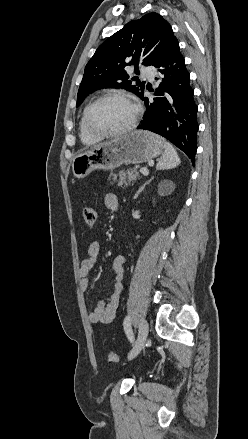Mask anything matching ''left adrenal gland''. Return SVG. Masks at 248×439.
Returning a JSON list of instances; mask_svg holds the SVG:
<instances>
[{
  "instance_id": "obj_1",
  "label": "left adrenal gland",
  "mask_w": 248,
  "mask_h": 439,
  "mask_svg": "<svg viewBox=\"0 0 248 439\" xmlns=\"http://www.w3.org/2000/svg\"><path fill=\"white\" fill-rule=\"evenodd\" d=\"M154 179V177H152L150 180H148L147 182H145L136 192L134 199H136L138 197V195L144 190L145 186L148 185L152 180Z\"/></svg>"
}]
</instances>
